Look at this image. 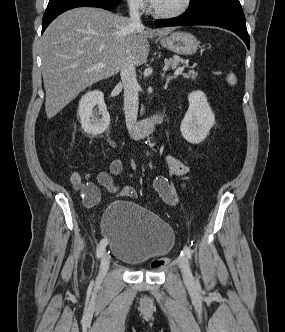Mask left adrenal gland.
<instances>
[{"label":"left adrenal gland","instance_id":"1","mask_svg":"<svg viewBox=\"0 0 285 332\" xmlns=\"http://www.w3.org/2000/svg\"><path fill=\"white\" fill-rule=\"evenodd\" d=\"M162 77L164 78V73L162 74ZM174 78H176L174 75H168V77L166 78V83H165L164 89H167L170 81Z\"/></svg>","mask_w":285,"mask_h":332}]
</instances>
